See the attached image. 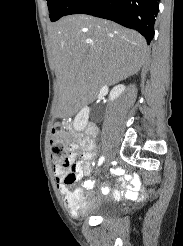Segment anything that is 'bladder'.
Masks as SVG:
<instances>
[{
    "instance_id": "obj_1",
    "label": "bladder",
    "mask_w": 183,
    "mask_h": 246,
    "mask_svg": "<svg viewBox=\"0 0 183 246\" xmlns=\"http://www.w3.org/2000/svg\"><path fill=\"white\" fill-rule=\"evenodd\" d=\"M120 211L121 209L117 205L108 201L98 200L90 214L101 218H108L118 215Z\"/></svg>"
}]
</instances>
